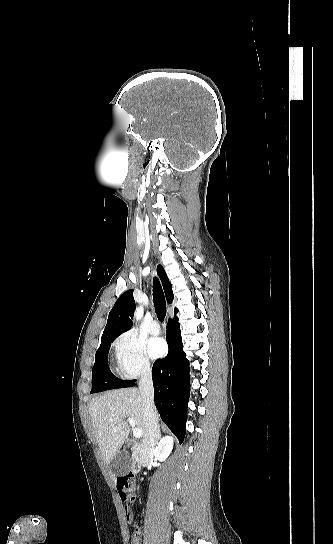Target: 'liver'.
<instances>
[{
  "label": "liver",
  "mask_w": 333,
  "mask_h": 544,
  "mask_svg": "<svg viewBox=\"0 0 333 544\" xmlns=\"http://www.w3.org/2000/svg\"><path fill=\"white\" fill-rule=\"evenodd\" d=\"M89 413L106 464H110L129 435L130 427L126 418H133L137 428L145 435L143 402L137 388L110 390L94 397L89 405Z\"/></svg>",
  "instance_id": "liver-1"
}]
</instances>
